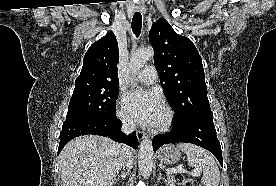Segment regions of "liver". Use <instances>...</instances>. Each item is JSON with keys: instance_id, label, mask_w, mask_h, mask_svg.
<instances>
[{"instance_id": "liver-1", "label": "liver", "mask_w": 276, "mask_h": 186, "mask_svg": "<svg viewBox=\"0 0 276 186\" xmlns=\"http://www.w3.org/2000/svg\"><path fill=\"white\" fill-rule=\"evenodd\" d=\"M133 155L131 150V158ZM123 159L121 145L109 138L77 137L67 143L59 155L63 186H113Z\"/></svg>"}]
</instances>
